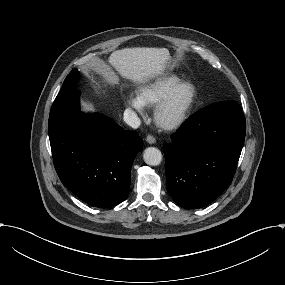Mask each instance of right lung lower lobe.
<instances>
[{
    "label": "right lung lower lobe",
    "mask_w": 285,
    "mask_h": 285,
    "mask_svg": "<svg viewBox=\"0 0 285 285\" xmlns=\"http://www.w3.org/2000/svg\"><path fill=\"white\" fill-rule=\"evenodd\" d=\"M81 92L60 91L49 115V139L56 172L65 187L95 207L121 203L130 188L131 167L143 142L110 118L83 114Z\"/></svg>",
    "instance_id": "98d812e1"
}]
</instances>
